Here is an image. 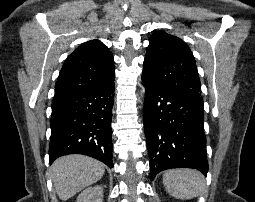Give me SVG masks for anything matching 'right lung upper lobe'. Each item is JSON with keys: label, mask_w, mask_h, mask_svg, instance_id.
Listing matches in <instances>:
<instances>
[{"label": "right lung upper lobe", "mask_w": 255, "mask_h": 202, "mask_svg": "<svg viewBox=\"0 0 255 202\" xmlns=\"http://www.w3.org/2000/svg\"><path fill=\"white\" fill-rule=\"evenodd\" d=\"M115 78L114 60L99 40L80 45L66 59L55 86V95L100 87Z\"/></svg>", "instance_id": "1"}]
</instances>
